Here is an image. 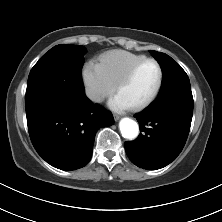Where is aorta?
<instances>
[{
	"label": "aorta",
	"mask_w": 222,
	"mask_h": 222,
	"mask_svg": "<svg viewBox=\"0 0 222 222\" xmlns=\"http://www.w3.org/2000/svg\"><path fill=\"white\" fill-rule=\"evenodd\" d=\"M119 129L122 137L128 140H134L139 134L137 122L130 118H123L119 123Z\"/></svg>",
	"instance_id": "1"
}]
</instances>
